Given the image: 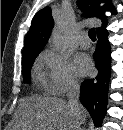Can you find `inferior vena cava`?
<instances>
[{
  "mask_svg": "<svg viewBox=\"0 0 123 130\" xmlns=\"http://www.w3.org/2000/svg\"><path fill=\"white\" fill-rule=\"evenodd\" d=\"M68 105L73 113V128L72 130H79V123L81 120V105L79 104L80 85L75 80H70L67 90Z\"/></svg>",
  "mask_w": 123,
  "mask_h": 130,
  "instance_id": "inferior-vena-cava-1",
  "label": "inferior vena cava"
}]
</instances>
